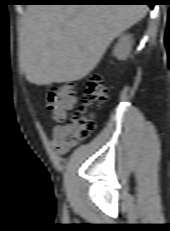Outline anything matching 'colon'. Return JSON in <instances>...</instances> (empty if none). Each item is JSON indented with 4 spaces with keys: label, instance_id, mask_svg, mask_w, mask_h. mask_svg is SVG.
<instances>
[{
    "label": "colon",
    "instance_id": "obj_1",
    "mask_svg": "<svg viewBox=\"0 0 170 231\" xmlns=\"http://www.w3.org/2000/svg\"><path fill=\"white\" fill-rule=\"evenodd\" d=\"M108 99L109 90L102 77L95 73L89 77L81 103L70 118L66 117V111L72 109L76 103L73 86L64 84L50 92L48 108L52 117L63 123V137L68 145L74 146L89 138L96 127V120L94 115L88 113V108Z\"/></svg>",
    "mask_w": 170,
    "mask_h": 231
}]
</instances>
